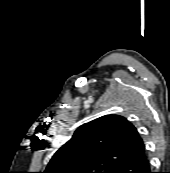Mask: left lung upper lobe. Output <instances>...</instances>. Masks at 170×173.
<instances>
[{
    "instance_id": "left-lung-upper-lobe-1",
    "label": "left lung upper lobe",
    "mask_w": 170,
    "mask_h": 173,
    "mask_svg": "<svg viewBox=\"0 0 170 173\" xmlns=\"http://www.w3.org/2000/svg\"><path fill=\"white\" fill-rule=\"evenodd\" d=\"M144 152L143 140L130 122L106 115L77 128L43 173H115Z\"/></svg>"
}]
</instances>
